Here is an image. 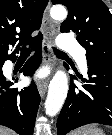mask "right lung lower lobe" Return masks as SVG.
<instances>
[{
  "instance_id": "98d812e1",
  "label": "right lung lower lobe",
  "mask_w": 112,
  "mask_h": 135,
  "mask_svg": "<svg viewBox=\"0 0 112 135\" xmlns=\"http://www.w3.org/2000/svg\"><path fill=\"white\" fill-rule=\"evenodd\" d=\"M33 45L35 55L21 69L25 76H31L42 60V39L36 41ZM2 66L0 67V125L13 129L19 135H32L40 103L37 87L32 83L22 90L11 88L13 82L6 81ZM17 80L15 79V82Z\"/></svg>"
}]
</instances>
